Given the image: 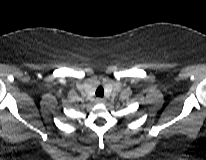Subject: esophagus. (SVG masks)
Here are the masks:
<instances>
[{"instance_id":"esophagus-1","label":"esophagus","mask_w":206,"mask_h":160,"mask_svg":"<svg viewBox=\"0 0 206 160\" xmlns=\"http://www.w3.org/2000/svg\"><path fill=\"white\" fill-rule=\"evenodd\" d=\"M95 102H96V103H103V102H104V99L101 98V97H98V98H96Z\"/></svg>"}]
</instances>
